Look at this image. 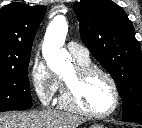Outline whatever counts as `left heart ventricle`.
Masks as SVG:
<instances>
[{"label": "left heart ventricle", "instance_id": "1", "mask_svg": "<svg viewBox=\"0 0 142 128\" xmlns=\"http://www.w3.org/2000/svg\"><path fill=\"white\" fill-rule=\"evenodd\" d=\"M64 79L75 86L80 104L96 113L109 111L114 105V93L108 80L102 75H92L82 83L77 82L76 71L72 69Z\"/></svg>", "mask_w": 142, "mask_h": 128}]
</instances>
